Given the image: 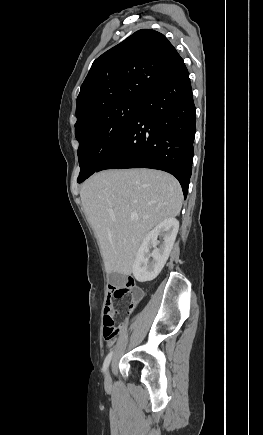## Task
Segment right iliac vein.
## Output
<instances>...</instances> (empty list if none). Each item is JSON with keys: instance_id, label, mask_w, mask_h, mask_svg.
Returning <instances> with one entry per match:
<instances>
[{"instance_id": "obj_1", "label": "right iliac vein", "mask_w": 263, "mask_h": 435, "mask_svg": "<svg viewBox=\"0 0 263 435\" xmlns=\"http://www.w3.org/2000/svg\"><path fill=\"white\" fill-rule=\"evenodd\" d=\"M111 381V377H110V373L109 371L106 373V377H105V383L108 385L110 384Z\"/></svg>"}]
</instances>
